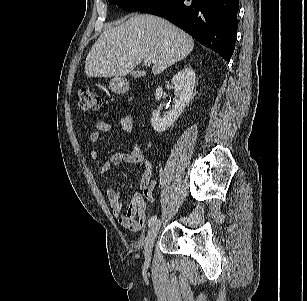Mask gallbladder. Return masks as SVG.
I'll use <instances>...</instances> for the list:
<instances>
[{"label": "gallbladder", "mask_w": 307, "mask_h": 301, "mask_svg": "<svg viewBox=\"0 0 307 301\" xmlns=\"http://www.w3.org/2000/svg\"><path fill=\"white\" fill-rule=\"evenodd\" d=\"M132 76L135 77V78L141 77V76H143V72L140 71V70L134 71V72H132Z\"/></svg>", "instance_id": "obj_1"}]
</instances>
